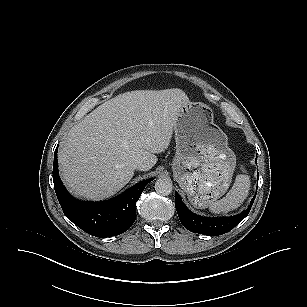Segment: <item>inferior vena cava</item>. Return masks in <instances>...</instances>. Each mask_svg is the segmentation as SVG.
Segmentation results:
<instances>
[{"label": "inferior vena cava", "mask_w": 307, "mask_h": 307, "mask_svg": "<svg viewBox=\"0 0 307 307\" xmlns=\"http://www.w3.org/2000/svg\"><path fill=\"white\" fill-rule=\"evenodd\" d=\"M131 166L134 169L143 170L144 169V163L142 161H135L131 164Z\"/></svg>", "instance_id": "1"}]
</instances>
